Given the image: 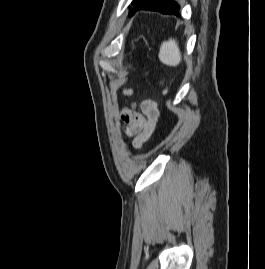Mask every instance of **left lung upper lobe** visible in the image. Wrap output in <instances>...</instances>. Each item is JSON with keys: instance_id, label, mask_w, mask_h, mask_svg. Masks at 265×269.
Listing matches in <instances>:
<instances>
[{"instance_id": "5c2ea615", "label": "left lung upper lobe", "mask_w": 265, "mask_h": 269, "mask_svg": "<svg viewBox=\"0 0 265 269\" xmlns=\"http://www.w3.org/2000/svg\"><path fill=\"white\" fill-rule=\"evenodd\" d=\"M145 1H146V0H133L132 5L135 6L136 9H137V8L140 7ZM130 14H131V12H130Z\"/></svg>"}]
</instances>
